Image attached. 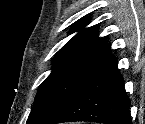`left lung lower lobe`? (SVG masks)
Wrapping results in <instances>:
<instances>
[{
  "mask_svg": "<svg viewBox=\"0 0 145 124\" xmlns=\"http://www.w3.org/2000/svg\"><path fill=\"white\" fill-rule=\"evenodd\" d=\"M130 101L113 57L43 124L90 121L132 124Z\"/></svg>",
  "mask_w": 145,
  "mask_h": 124,
  "instance_id": "left-lung-lower-lobe-1",
  "label": "left lung lower lobe"
}]
</instances>
